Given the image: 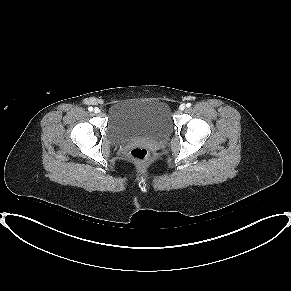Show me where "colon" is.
Listing matches in <instances>:
<instances>
[{"mask_svg": "<svg viewBox=\"0 0 291 291\" xmlns=\"http://www.w3.org/2000/svg\"><path fill=\"white\" fill-rule=\"evenodd\" d=\"M149 157V151L145 146H136L129 153V160L136 165L143 164Z\"/></svg>", "mask_w": 291, "mask_h": 291, "instance_id": "obj_1", "label": "colon"}]
</instances>
